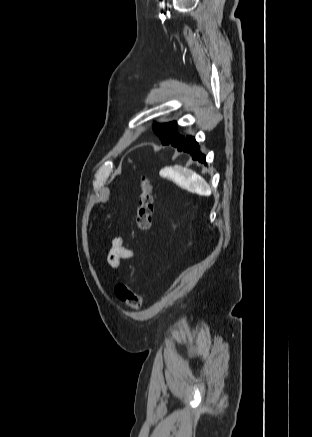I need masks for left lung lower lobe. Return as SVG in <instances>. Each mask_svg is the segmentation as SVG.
Here are the masks:
<instances>
[{
  "mask_svg": "<svg viewBox=\"0 0 312 437\" xmlns=\"http://www.w3.org/2000/svg\"><path fill=\"white\" fill-rule=\"evenodd\" d=\"M163 145H172L177 148L178 151H184L192 155L194 160H198L201 163L206 164L205 156L200 152L199 145L195 140V137L186 136L183 139L171 141Z\"/></svg>",
  "mask_w": 312,
  "mask_h": 437,
  "instance_id": "obj_1",
  "label": "left lung lower lobe"
}]
</instances>
